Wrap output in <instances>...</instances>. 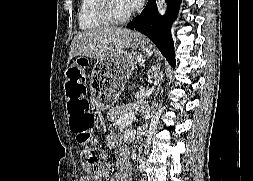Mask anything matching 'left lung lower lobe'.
I'll return each mask as SVG.
<instances>
[{
    "label": "left lung lower lobe",
    "instance_id": "obj_1",
    "mask_svg": "<svg viewBox=\"0 0 253 181\" xmlns=\"http://www.w3.org/2000/svg\"><path fill=\"white\" fill-rule=\"evenodd\" d=\"M180 1L167 0V16L162 17L157 11L155 0H149L142 13L127 25L130 29H136L150 38L173 67L175 54L170 26L176 17Z\"/></svg>",
    "mask_w": 253,
    "mask_h": 181
}]
</instances>
